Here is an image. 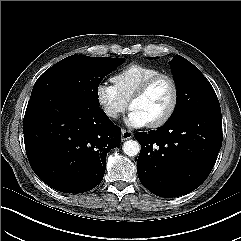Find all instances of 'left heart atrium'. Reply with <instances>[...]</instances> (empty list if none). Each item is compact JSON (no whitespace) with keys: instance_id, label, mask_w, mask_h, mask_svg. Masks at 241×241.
<instances>
[{"instance_id":"1","label":"left heart atrium","mask_w":241,"mask_h":241,"mask_svg":"<svg viewBox=\"0 0 241 241\" xmlns=\"http://www.w3.org/2000/svg\"><path fill=\"white\" fill-rule=\"evenodd\" d=\"M126 123L135 128L143 127L147 125L146 120L136 111L131 110L128 116L126 117Z\"/></svg>"}]
</instances>
